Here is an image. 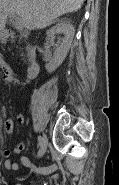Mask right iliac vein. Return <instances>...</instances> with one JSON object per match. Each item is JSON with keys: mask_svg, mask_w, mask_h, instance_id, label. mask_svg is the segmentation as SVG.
I'll use <instances>...</instances> for the list:
<instances>
[{"mask_svg": "<svg viewBox=\"0 0 119 185\" xmlns=\"http://www.w3.org/2000/svg\"><path fill=\"white\" fill-rule=\"evenodd\" d=\"M41 138H42V143L40 145L38 158L42 157L44 155V153L46 152V149H47V137H46V135L43 134V136Z\"/></svg>", "mask_w": 119, "mask_h": 185, "instance_id": "1", "label": "right iliac vein"}]
</instances>
